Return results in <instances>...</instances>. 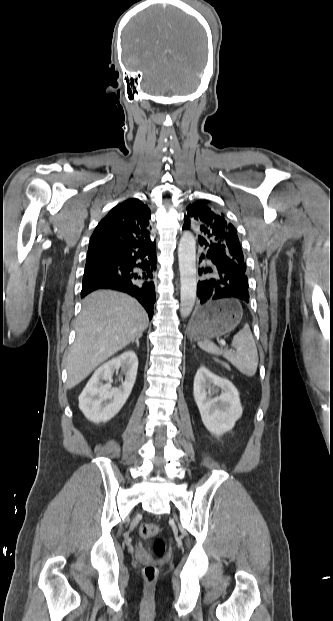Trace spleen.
I'll list each match as a JSON object with an SVG mask.
<instances>
[{
  "label": "spleen",
  "mask_w": 333,
  "mask_h": 621,
  "mask_svg": "<svg viewBox=\"0 0 333 621\" xmlns=\"http://www.w3.org/2000/svg\"><path fill=\"white\" fill-rule=\"evenodd\" d=\"M198 346L210 354H222L225 359L246 376H254L256 373L259 358L249 325H245L233 338L231 346L236 349V352L230 350L220 351L209 340L198 341Z\"/></svg>",
  "instance_id": "3e777b00"
}]
</instances>
